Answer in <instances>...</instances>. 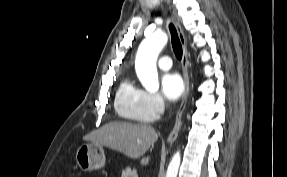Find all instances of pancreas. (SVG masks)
Here are the masks:
<instances>
[{"instance_id":"obj_1","label":"pancreas","mask_w":287,"mask_h":177,"mask_svg":"<svg viewBox=\"0 0 287 177\" xmlns=\"http://www.w3.org/2000/svg\"><path fill=\"white\" fill-rule=\"evenodd\" d=\"M121 177H138L135 169L126 168L121 171Z\"/></svg>"}]
</instances>
